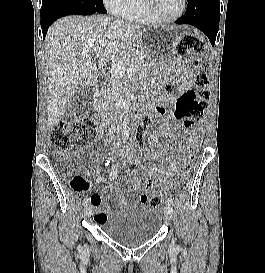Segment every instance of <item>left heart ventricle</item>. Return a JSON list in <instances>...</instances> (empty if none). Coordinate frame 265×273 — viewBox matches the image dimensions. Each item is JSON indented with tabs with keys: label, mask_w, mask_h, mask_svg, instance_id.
Returning <instances> with one entry per match:
<instances>
[{
	"label": "left heart ventricle",
	"mask_w": 265,
	"mask_h": 273,
	"mask_svg": "<svg viewBox=\"0 0 265 273\" xmlns=\"http://www.w3.org/2000/svg\"><path fill=\"white\" fill-rule=\"evenodd\" d=\"M182 0H153L152 8L160 17H173L179 13Z\"/></svg>",
	"instance_id": "1"
}]
</instances>
